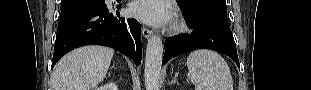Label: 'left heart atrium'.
Listing matches in <instances>:
<instances>
[{
    "mask_svg": "<svg viewBox=\"0 0 311 90\" xmlns=\"http://www.w3.org/2000/svg\"><path fill=\"white\" fill-rule=\"evenodd\" d=\"M130 11L135 18L153 26L166 25L172 18L169 6L159 0H137L131 5Z\"/></svg>",
    "mask_w": 311,
    "mask_h": 90,
    "instance_id": "39dd6f15",
    "label": "left heart atrium"
}]
</instances>
